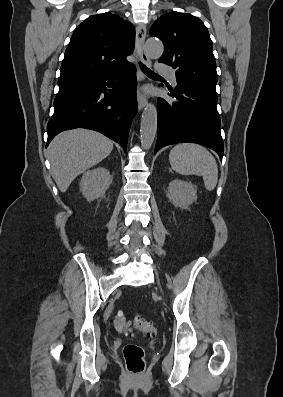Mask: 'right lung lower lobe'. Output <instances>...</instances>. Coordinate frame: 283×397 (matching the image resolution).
Returning a JSON list of instances; mask_svg holds the SVG:
<instances>
[{
    "instance_id": "1",
    "label": "right lung lower lobe",
    "mask_w": 283,
    "mask_h": 397,
    "mask_svg": "<svg viewBox=\"0 0 283 397\" xmlns=\"http://www.w3.org/2000/svg\"><path fill=\"white\" fill-rule=\"evenodd\" d=\"M136 68L133 64L92 78L59 85L54 114L48 122L47 145L60 132L86 128L123 146L137 113ZM108 88H112L109 90Z\"/></svg>"
}]
</instances>
